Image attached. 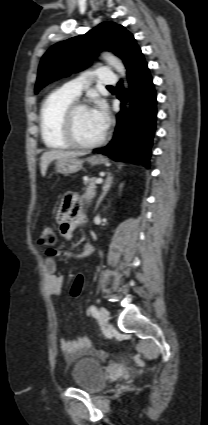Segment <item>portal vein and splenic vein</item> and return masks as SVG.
Instances as JSON below:
<instances>
[{
    "mask_svg": "<svg viewBox=\"0 0 208 425\" xmlns=\"http://www.w3.org/2000/svg\"><path fill=\"white\" fill-rule=\"evenodd\" d=\"M102 182H103V179L102 178L96 179V184H101Z\"/></svg>",
    "mask_w": 208,
    "mask_h": 425,
    "instance_id": "1",
    "label": "portal vein and splenic vein"
}]
</instances>
